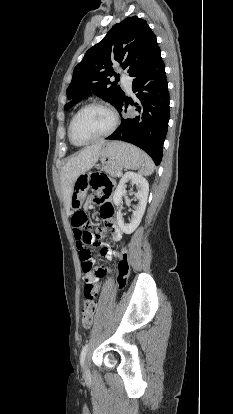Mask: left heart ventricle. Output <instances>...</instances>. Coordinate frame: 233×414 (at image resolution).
I'll list each match as a JSON object with an SVG mask.
<instances>
[{"label":"left heart ventricle","mask_w":233,"mask_h":414,"mask_svg":"<svg viewBox=\"0 0 233 414\" xmlns=\"http://www.w3.org/2000/svg\"><path fill=\"white\" fill-rule=\"evenodd\" d=\"M111 125V116L99 108H91L82 112L73 127V137L78 142L92 139L106 132Z\"/></svg>","instance_id":"obj_1"}]
</instances>
